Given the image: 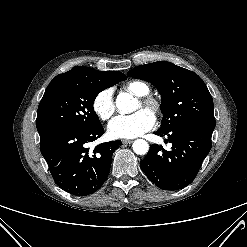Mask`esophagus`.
<instances>
[{"label":"esophagus","mask_w":247,"mask_h":247,"mask_svg":"<svg viewBox=\"0 0 247 247\" xmlns=\"http://www.w3.org/2000/svg\"><path fill=\"white\" fill-rule=\"evenodd\" d=\"M132 142H133V140H128V139H123L122 140L123 144H129V143H132Z\"/></svg>","instance_id":"esophagus-1"}]
</instances>
